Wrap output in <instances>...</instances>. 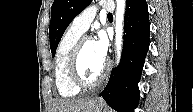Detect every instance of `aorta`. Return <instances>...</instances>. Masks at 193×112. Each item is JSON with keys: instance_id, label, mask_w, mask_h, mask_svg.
Returning a JSON list of instances; mask_svg holds the SVG:
<instances>
[{"instance_id": "1", "label": "aorta", "mask_w": 193, "mask_h": 112, "mask_svg": "<svg viewBox=\"0 0 193 112\" xmlns=\"http://www.w3.org/2000/svg\"><path fill=\"white\" fill-rule=\"evenodd\" d=\"M125 0H116V18H115V52L117 63L120 60L123 41Z\"/></svg>"}]
</instances>
